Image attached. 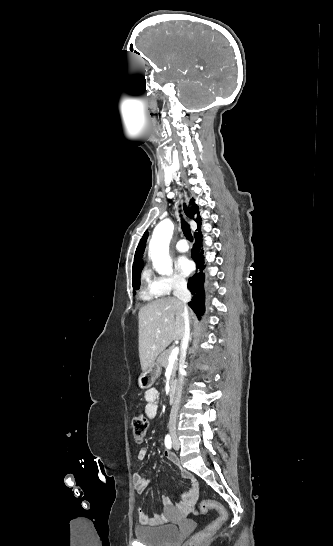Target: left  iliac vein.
I'll list each match as a JSON object with an SVG mask.
<instances>
[{"label":"left iliac vein","instance_id":"4c4485c4","mask_svg":"<svg viewBox=\"0 0 333 546\" xmlns=\"http://www.w3.org/2000/svg\"><path fill=\"white\" fill-rule=\"evenodd\" d=\"M173 447H174L175 450H177L179 448V445L176 442L173 441Z\"/></svg>","mask_w":333,"mask_h":546}]
</instances>
